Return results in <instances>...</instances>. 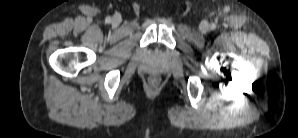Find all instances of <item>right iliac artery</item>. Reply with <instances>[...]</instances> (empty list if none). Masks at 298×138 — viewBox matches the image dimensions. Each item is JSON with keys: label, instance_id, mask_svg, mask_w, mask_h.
<instances>
[{"label": "right iliac artery", "instance_id": "right-iliac-artery-1", "mask_svg": "<svg viewBox=\"0 0 298 138\" xmlns=\"http://www.w3.org/2000/svg\"><path fill=\"white\" fill-rule=\"evenodd\" d=\"M105 22H106V23H110V22H111V18H110V17H107V18L105 19Z\"/></svg>", "mask_w": 298, "mask_h": 138}]
</instances>
